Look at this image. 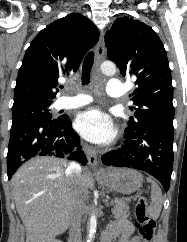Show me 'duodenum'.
<instances>
[{"label":"duodenum","mask_w":187,"mask_h":242,"mask_svg":"<svg viewBox=\"0 0 187 242\" xmlns=\"http://www.w3.org/2000/svg\"><path fill=\"white\" fill-rule=\"evenodd\" d=\"M112 238H113L112 236L104 233L102 236L101 242H111Z\"/></svg>","instance_id":"obj_1"}]
</instances>
